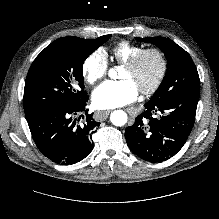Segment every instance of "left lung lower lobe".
Returning a JSON list of instances; mask_svg holds the SVG:
<instances>
[{
	"mask_svg": "<svg viewBox=\"0 0 219 219\" xmlns=\"http://www.w3.org/2000/svg\"><path fill=\"white\" fill-rule=\"evenodd\" d=\"M198 100L199 93H187L165 102H147L145 111L125 131L131 151L150 162L174 156L193 128Z\"/></svg>",
	"mask_w": 219,
	"mask_h": 219,
	"instance_id": "left-lung-lower-lobe-1",
	"label": "left lung lower lobe"
}]
</instances>
